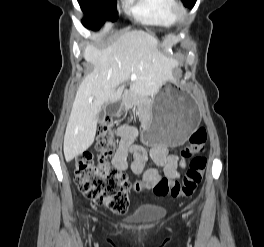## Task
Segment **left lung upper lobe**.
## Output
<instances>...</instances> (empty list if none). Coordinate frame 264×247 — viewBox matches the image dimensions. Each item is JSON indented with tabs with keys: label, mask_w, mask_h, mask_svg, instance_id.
<instances>
[{
	"label": "left lung upper lobe",
	"mask_w": 264,
	"mask_h": 247,
	"mask_svg": "<svg viewBox=\"0 0 264 247\" xmlns=\"http://www.w3.org/2000/svg\"><path fill=\"white\" fill-rule=\"evenodd\" d=\"M182 1L186 7H190V8H193V6L196 3V0H182Z\"/></svg>",
	"instance_id": "5c2ea615"
}]
</instances>
